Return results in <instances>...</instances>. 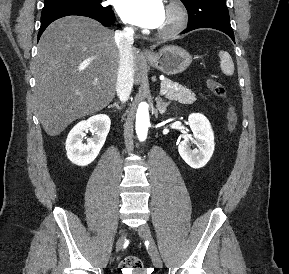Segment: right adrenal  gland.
Here are the masks:
<instances>
[{"label": "right adrenal gland", "instance_id": "1", "mask_svg": "<svg viewBox=\"0 0 289 274\" xmlns=\"http://www.w3.org/2000/svg\"><path fill=\"white\" fill-rule=\"evenodd\" d=\"M112 107H115L116 109L120 110L122 109V106H120L118 103H113L112 105L108 106V108H112Z\"/></svg>", "mask_w": 289, "mask_h": 274}]
</instances>
